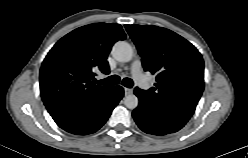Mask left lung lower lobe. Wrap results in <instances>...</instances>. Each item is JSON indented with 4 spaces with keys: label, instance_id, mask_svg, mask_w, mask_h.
Returning <instances> with one entry per match:
<instances>
[{
    "label": "left lung lower lobe",
    "instance_id": "0a47b994",
    "mask_svg": "<svg viewBox=\"0 0 248 158\" xmlns=\"http://www.w3.org/2000/svg\"><path fill=\"white\" fill-rule=\"evenodd\" d=\"M134 93L140 102L132 116L142 131L148 134L165 135L177 132L187 123L186 120L172 116L155 106L139 90L135 89Z\"/></svg>",
    "mask_w": 248,
    "mask_h": 158
}]
</instances>
